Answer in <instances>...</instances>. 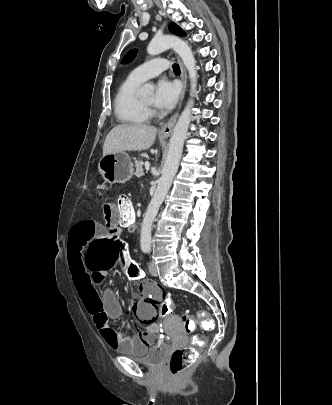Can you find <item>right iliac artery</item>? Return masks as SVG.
I'll list each match as a JSON object with an SVG mask.
<instances>
[{
	"instance_id": "82829eb1",
	"label": "right iliac artery",
	"mask_w": 332,
	"mask_h": 405,
	"mask_svg": "<svg viewBox=\"0 0 332 405\" xmlns=\"http://www.w3.org/2000/svg\"><path fill=\"white\" fill-rule=\"evenodd\" d=\"M143 251H144L145 253H147V252L149 251V249H148V248H144Z\"/></svg>"
}]
</instances>
